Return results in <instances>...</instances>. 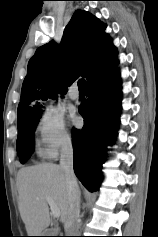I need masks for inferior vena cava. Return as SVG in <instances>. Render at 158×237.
<instances>
[{
  "label": "inferior vena cava",
  "mask_w": 158,
  "mask_h": 237,
  "mask_svg": "<svg viewBox=\"0 0 158 237\" xmlns=\"http://www.w3.org/2000/svg\"><path fill=\"white\" fill-rule=\"evenodd\" d=\"M60 167L64 170L68 189V211L65 231L68 236H79L80 190L73 170V147L69 137L63 139L60 150Z\"/></svg>",
  "instance_id": "1"
}]
</instances>
